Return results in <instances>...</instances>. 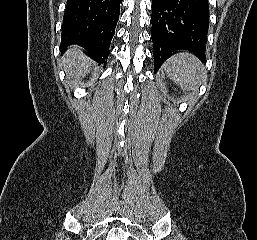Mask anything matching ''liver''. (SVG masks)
I'll list each match as a JSON object with an SVG mask.
<instances>
[{"mask_svg":"<svg viewBox=\"0 0 257 240\" xmlns=\"http://www.w3.org/2000/svg\"><path fill=\"white\" fill-rule=\"evenodd\" d=\"M64 70L69 78L81 79L91 70L92 62L77 46L70 47L62 58Z\"/></svg>","mask_w":257,"mask_h":240,"instance_id":"1","label":"liver"}]
</instances>
